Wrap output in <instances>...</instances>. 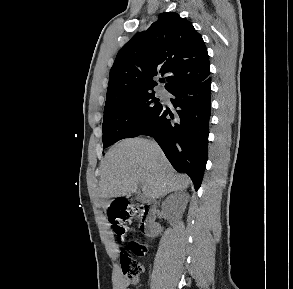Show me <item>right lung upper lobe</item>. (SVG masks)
I'll list each match as a JSON object with an SVG mask.
<instances>
[{
	"instance_id": "right-lung-upper-lobe-1",
	"label": "right lung upper lobe",
	"mask_w": 293,
	"mask_h": 289,
	"mask_svg": "<svg viewBox=\"0 0 293 289\" xmlns=\"http://www.w3.org/2000/svg\"><path fill=\"white\" fill-rule=\"evenodd\" d=\"M209 69L206 46L191 22L177 13H161L118 52L110 71L106 103L154 92L159 75L166 77L168 92L197 84L208 78Z\"/></svg>"
}]
</instances>
